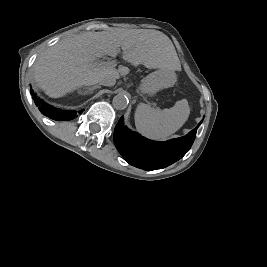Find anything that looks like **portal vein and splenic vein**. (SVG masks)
Wrapping results in <instances>:
<instances>
[{
	"mask_svg": "<svg viewBox=\"0 0 267 267\" xmlns=\"http://www.w3.org/2000/svg\"><path fill=\"white\" fill-rule=\"evenodd\" d=\"M102 64H104V65H107V64H109V65H112V66H114V63H112V62H100V65H102Z\"/></svg>",
	"mask_w": 267,
	"mask_h": 267,
	"instance_id": "obj_1",
	"label": "portal vein and splenic vein"
}]
</instances>
